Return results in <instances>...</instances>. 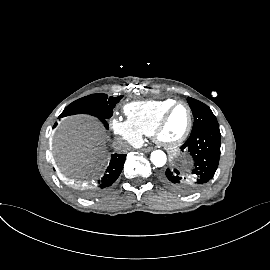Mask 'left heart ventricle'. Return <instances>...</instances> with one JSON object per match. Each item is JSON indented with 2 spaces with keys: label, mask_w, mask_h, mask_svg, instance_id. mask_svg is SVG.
<instances>
[{
  "label": "left heart ventricle",
  "mask_w": 270,
  "mask_h": 270,
  "mask_svg": "<svg viewBox=\"0 0 270 270\" xmlns=\"http://www.w3.org/2000/svg\"><path fill=\"white\" fill-rule=\"evenodd\" d=\"M188 123V111L185 106H177L169 115L162 131V138L174 140L185 131Z\"/></svg>",
  "instance_id": "b2bd125f"
}]
</instances>
